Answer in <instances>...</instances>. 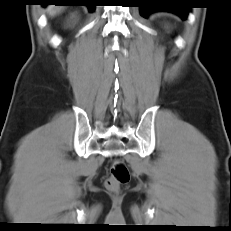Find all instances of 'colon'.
I'll return each mask as SVG.
<instances>
[{"instance_id": "obj_1", "label": "colon", "mask_w": 231, "mask_h": 231, "mask_svg": "<svg viewBox=\"0 0 231 231\" xmlns=\"http://www.w3.org/2000/svg\"><path fill=\"white\" fill-rule=\"evenodd\" d=\"M130 180V172L127 166L120 160L113 162L110 168V175L105 181V187L116 192L120 187Z\"/></svg>"}]
</instances>
